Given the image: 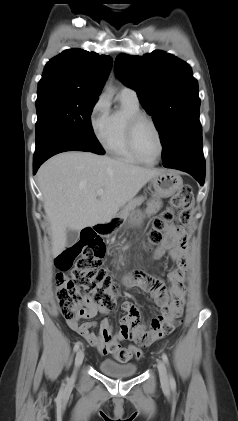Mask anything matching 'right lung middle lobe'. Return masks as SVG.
Segmentation results:
<instances>
[{"label":"right lung middle lobe","mask_w":238,"mask_h":421,"mask_svg":"<svg viewBox=\"0 0 238 421\" xmlns=\"http://www.w3.org/2000/svg\"><path fill=\"white\" fill-rule=\"evenodd\" d=\"M37 95L36 143L48 131L57 130L87 147L91 152L105 153L93 133L90 120L98 95L57 88L38 89Z\"/></svg>","instance_id":"dd1d6c3e"}]
</instances>
